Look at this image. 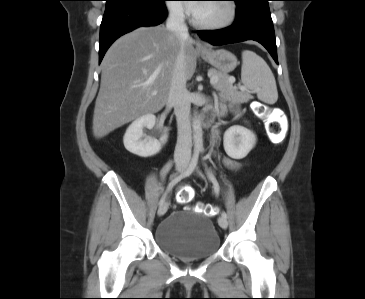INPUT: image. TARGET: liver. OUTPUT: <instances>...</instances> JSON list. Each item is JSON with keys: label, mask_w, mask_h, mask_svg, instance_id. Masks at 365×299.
Returning <instances> with one entry per match:
<instances>
[{"label": "liver", "mask_w": 365, "mask_h": 299, "mask_svg": "<svg viewBox=\"0 0 365 299\" xmlns=\"http://www.w3.org/2000/svg\"><path fill=\"white\" fill-rule=\"evenodd\" d=\"M195 41L163 26L141 27L119 39L102 61L93 134L102 138L143 115L160 111L168 100L177 56L183 48L186 80L196 69ZM156 92V95H153Z\"/></svg>", "instance_id": "liver-1"}]
</instances>
